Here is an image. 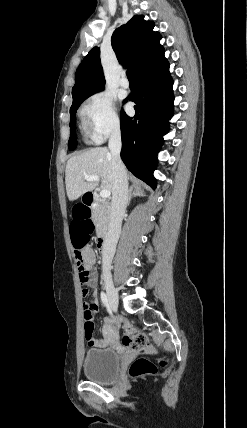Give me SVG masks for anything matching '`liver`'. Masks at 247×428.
<instances>
[{"instance_id":"6515ba94","label":"liver","mask_w":247,"mask_h":428,"mask_svg":"<svg viewBox=\"0 0 247 428\" xmlns=\"http://www.w3.org/2000/svg\"><path fill=\"white\" fill-rule=\"evenodd\" d=\"M85 175L99 176L101 188L112 192V156L106 147L91 148L68 160L65 170V184L70 201L94 190L98 185L97 181L85 180Z\"/></svg>"}]
</instances>
